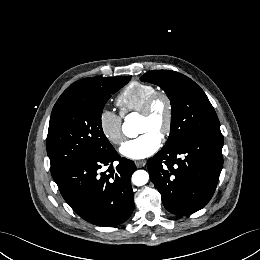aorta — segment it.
<instances>
[{"mask_svg":"<svg viewBox=\"0 0 260 260\" xmlns=\"http://www.w3.org/2000/svg\"><path fill=\"white\" fill-rule=\"evenodd\" d=\"M123 133L130 138H134L139 134L136 123L130 117L125 119L122 126ZM149 180V174L145 170H137L132 175V183L136 186H143Z\"/></svg>","mask_w":260,"mask_h":260,"instance_id":"762f6f07","label":"aorta"}]
</instances>
